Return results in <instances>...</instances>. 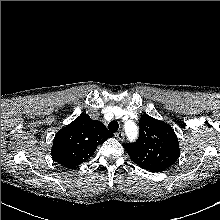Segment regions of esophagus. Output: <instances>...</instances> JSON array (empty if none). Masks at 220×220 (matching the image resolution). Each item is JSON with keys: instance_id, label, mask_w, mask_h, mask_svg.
Returning a JSON list of instances; mask_svg holds the SVG:
<instances>
[{"instance_id": "1", "label": "esophagus", "mask_w": 220, "mask_h": 220, "mask_svg": "<svg viewBox=\"0 0 220 220\" xmlns=\"http://www.w3.org/2000/svg\"><path fill=\"white\" fill-rule=\"evenodd\" d=\"M114 135L120 141H123L125 138V134L123 132H116Z\"/></svg>"}]
</instances>
